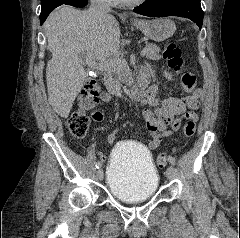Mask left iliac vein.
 <instances>
[{
	"mask_svg": "<svg viewBox=\"0 0 240 238\" xmlns=\"http://www.w3.org/2000/svg\"><path fill=\"white\" fill-rule=\"evenodd\" d=\"M174 173H175L174 167L169 166L166 170V177L170 180L174 177Z\"/></svg>",
	"mask_w": 240,
	"mask_h": 238,
	"instance_id": "obj_1",
	"label": "left iliac vein"
}]
</instances>
